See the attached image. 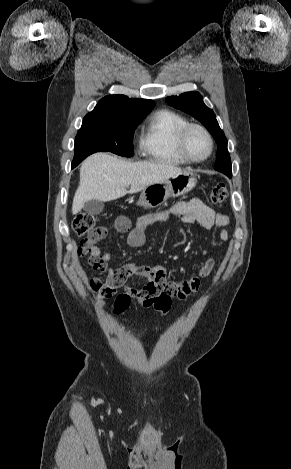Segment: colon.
<instances>
[{
	"label": "colon",
	"instance_id": "5ec220e1",
	"mask_svg": "<svg viewBox=\"0 0 291 469\" xmlns=\"http://www.w3.org/2000/svg\"><path fill=\"white\" fill-rule=\"evenodd\" d=\"M228 191L224 183L217 184L209 194V201L213 204H219L226 200ZM72 229L76 235L82 237L79 252L81 254L88 253L96 242L104 238L107 234L105 227L96 226V217L92 213L84 212L78 214L73 222ZM89 264L96 270H104L105 264L97 257L89 258ZM92 289L97 291L103 287L102 283H94ZM154 292V288H150ZM113 305L115 310L121 313H127L129 308L141 307L146 311H159L162 315H166L171 306V299L168 293H158L155 296H127L124 290L115 294Z\"/></svg>",
	"mask_w": 291,
	"mask_h": 469
}]
</instances>
